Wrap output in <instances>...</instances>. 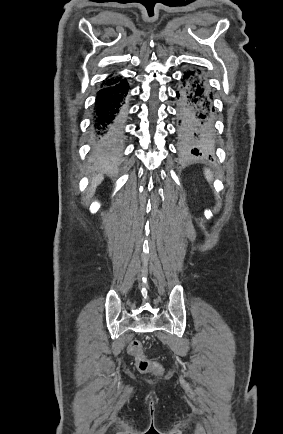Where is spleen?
I'll return each mask as SVG.
<instances>
[{
	"mask_svg": "<svg viewBox=\"0 0 283 434\" xmlns=\"http://www.w3.org/2000/svg\"><path fill=\"white\" fill-rule=\"evenodd\" d=\"M204 173H205V177H206V179H207L208 181H211V179H212V173L210 172V170L205 169V170H204Z\"/></svg>",
	"mask_w": 283,
	"mask_h": 434,
	"instance_id": "1",
	"label": "spleen"
}]
</instances>
